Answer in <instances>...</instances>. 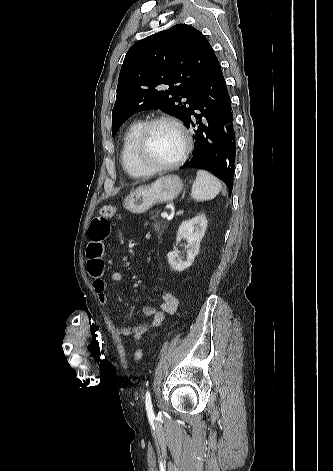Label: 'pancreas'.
I'll use <instances>...</instances> for the list:
<instances>
[{
	"mask_svg": "<svg viewBox=\"0 0 333 471\" xmlns=\"http://www.w3.org/2000/svg\"><path fill=\"white\" fill-rule=\"evenodd\" d=\"M151 219L154 221L153 223L154 231L157 232L158 234H162V232L167 228V223L163 221H158L156 219V216H153Z\"/></svg>",
	"mask_w": 333,
	"mask_h": 471,
	"instance_id": "1",
	"label": "pancreas"
}]
</instances>
